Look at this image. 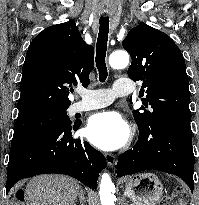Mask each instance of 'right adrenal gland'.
Here are the masks:
<instances>
[{
	"label": "right adrenal gland",
	"mask_w": 199,
	"mask_h": 205,
	"mask_svg": "<svg viewBox=\"0 0 199 205\" xmlns=\"http://www.w3.org/2000/svg\"><path fill=\"white\" fill-rule=\"evenodd\" d=\"M85 196H84V191L82 189H80V192H79V202H80V205H84L85 203Z\"/></svg>",
	"instance_id": "1"
}]
</instances>
